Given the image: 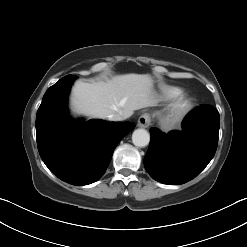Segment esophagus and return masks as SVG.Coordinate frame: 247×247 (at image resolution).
<instances>
[{"label": "esophagus", "instance_id": "1", "mask_svg": "<svg viewBox=\"0 0 247 247\" xmlns=\"http://www.w3.org/2000/svg\"><path fill=\"white\" fill-rule=\"evenodd\" d=\"M151 123V117L148 113L142 114L137 122V126L140 128H147Z\"/></svg>", "mask_w": 247, "mask_h": 247}]
</instances>
